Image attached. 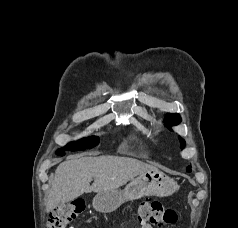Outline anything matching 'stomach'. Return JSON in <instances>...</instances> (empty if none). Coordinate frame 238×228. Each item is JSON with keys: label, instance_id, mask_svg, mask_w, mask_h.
Listing matches in <instances>:
<instances>
[{"label": "stomach", "instance_id": "stomach-1", "mask_svg": "<svg viewBox=\"0 0 238 228\" xmlns=\"http://www.w3.org/2000/svg\"><path fill=\"white\" fill-rule=\"evenodd\" d=\"M179 189L177 182L155 169L138 175L123 189L98 192L93 199V207L102 213L115 211L122 203L144 196L164 197Z\"/></svg>", "mask_w": 238, "mask_h": 228}]
</instances>
